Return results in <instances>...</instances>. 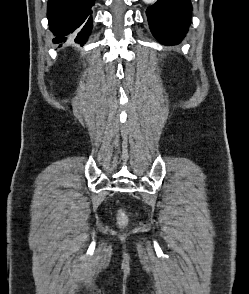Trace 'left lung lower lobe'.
<instances>
[{
    "instance_id": "0a47b994",
    "label": "left lung lower lobe",
    "mask_w": 249,
    "mask_h": 294,
    "mask_svg": "<svg viewBox=\"0 0 249 294\" xmlns=\"http://www.w3.org/2000/svg\"><path fill=\"white\" fill-rule=\"evenodd\" d=\"M190 0H158L146 13L154 36L167 45L178 44L189 26Z\"/></svg>"
}]
</instances>
